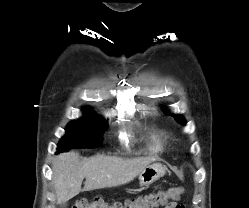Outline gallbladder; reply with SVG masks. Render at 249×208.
Segmentation results:
<instances>
[{"mask_svg": "<svg viewBox=\"0 0 249 208\" xmlns=\"http://www.w3.org/2000/svg\"><path fill=\"white\" fill-rule=\"evenodd\" d=\"M60 205L62 206V208H64L66 206V203L64 202V203H62Z\"/></svg>", "mask_w": 249, "mask_h": 208, "instance_id": "1", "label": "gallbladder"}]
</instances>
